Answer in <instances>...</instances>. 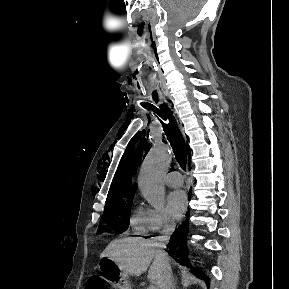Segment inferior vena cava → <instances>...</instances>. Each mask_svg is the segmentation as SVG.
Returning a JSON list of instances; mask_svg holds the SVG:
<instances>
[{
    "label": "inferior vena cava",
    "instance_id": "inferior-vena-cava-1",
    "mask_svg": "<svg viewBox=\"0 0 289 289\" xmlns=\"http://www.w3.org/2000/svg\"><path fill=\"white\" fill-rule=\"evenodd\" d=\"M175 226L167 224L163 230V236L161 237V243L159 245L160 248H162L163 244L168 242L171 233L174 231ZM161 262H162V275L161 278L158 281V289H172V271L171 267L166 260V254L164 251L161 250L160 252Z\"/></svg>",
    "mask_w": 289,
    "mask_h": 289
}]
</instances>
